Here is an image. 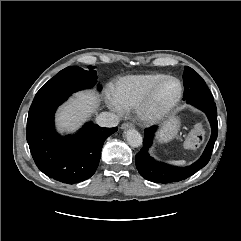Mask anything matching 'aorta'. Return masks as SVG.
<instances>
[{"mask_svg":"<svg viewBox=\"0 0 241 241\" xmlns=\"http://www.w3.org/2000/svg\"><path fill=\"white\" fill-rule=\"evenodd\" d=\"M128 144L131 147H140L143 143L141 134L135 129H129L125 132Z\"/></svg>","mask_w":241,"mask_h":241,"instance_id":"1","label":"aorta"}]
</instances>
